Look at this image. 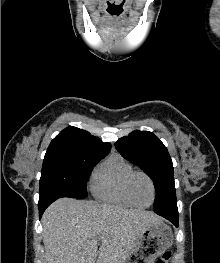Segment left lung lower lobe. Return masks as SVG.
<instances>
[{"mask_svg": "<svg viewBox=\"0 0 220 263\" xmlns=\"http://www.w3.org/2000/svg\"><path fill=\"white\" fill-rule=\"evenodd\" d=\"M171 221L176 227H178V210L169 209L168 211L157 213Z\"/></svg>", "mask_w": 220, "mask_h": 263, "instance_id": "1", "label": "left lung lower lobe"}]
</instances>
